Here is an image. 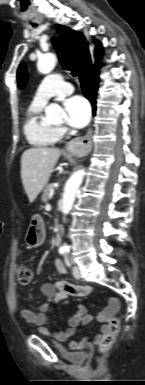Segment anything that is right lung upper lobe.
Listing matches in <instances>:
<instances>
[{"mask_svg":"<svg viewBox=\"0 0 145 385\" xmlns=\"http://www.w3.org/2000/svg\"><path fill=\"white\" fill-rule=\"evenodd\" d=\"M57 32L62 37L65 47L69 53L72 63L74 64L78 74L92 67L91 57L88 49V43L84 36L73 31L68 27L57 25ZM102 50L101 43H97L96 57Z\"/></svg>","mask_w":145,"mask_h":385,"instance_id":"cb5924a9","label":"right lung upper lobe"}]
</instances>
